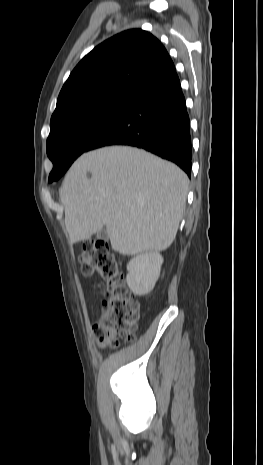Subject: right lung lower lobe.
I'll return each instance as SVG.
<instances>
[{
	"mask_svg": "<svg viewBox=\"0 0 263 465\" xmlns=\"http://www.w3.org/2000/svg\"><path fill=\"white\" fill-rule=\"evenodd\" d=\"M108 145L143 148L176 163L190 177V121L176 72L139 92L88 151Z\"/></svg>",
	"mask_w": 263,
	"mask_h": 465,
	"instance_id": "98d812e1",
	"label": "right lung lower lobe"
}]
</instances>
